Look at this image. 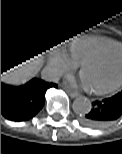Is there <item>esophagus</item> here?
Instances as JSON below:
<instances>
[{
  "mask_svg": "<svg viewBox=\"0 0 122 154\" xmlns=\"http://www.w3.org/2000/svg\"><path fill=\"white\" fill-rule=\"evenodd\" d=\"M65 90V92L71 97V98H75L78 96V92L70 90L68 88H63Z\"/></svg>",
  "mask_w": 122,
  "mask_h": 154,
  "instance_id": "34e87169",
  "label": "esophagus"
}]
</instances>
